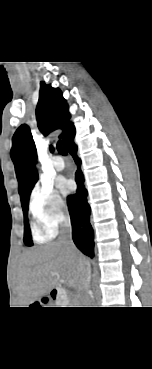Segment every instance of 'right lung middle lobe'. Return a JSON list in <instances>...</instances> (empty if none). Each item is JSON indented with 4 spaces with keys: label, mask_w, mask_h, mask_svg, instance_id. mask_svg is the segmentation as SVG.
<instances>
[{
    "label": "right lung middle lobe",
    "mask_w": 152,
    "mask_h": 369,
    "mask_svg": "<svg viewBox=\"0 0 152 369\" xmlns=\"http://www.w3.org/2000/svg\"><path fill=\"white\" fill-rule=\"evenodd\" d=\"M31 190L28 192L27 197H26V200L23 203H21L22 208H23V213H24V224H25V228H24V243L27 246H32L33 245L32 237H31V230L29 228L28 218H27L28 204H29V196H30Z\"/></svg>",
    "instance_id": "1"
}]
</instances>
